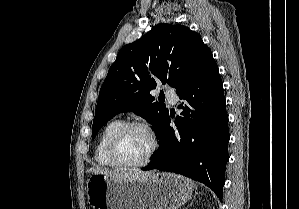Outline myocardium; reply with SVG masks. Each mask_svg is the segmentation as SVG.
Segmentation results:
<instances>
[{
    "mask_svg": "<svg viewBox=\"0 0 299 209\" xmlns=\"http://www.w3.org/2000/svg\"><path fill=\"white\" fill-rule=\"evenodd\" d=\"M129 129H139L143 131L149 139L150 146L146 156L141 161L131 164H123L116 159V146L121 135ZM157 148V137L154 131L147 124L139 121L124 122L115 130L109 140L107 147V157L111 166L114 168L122 170L136 169L147 165L156 153Z\"/></svg>",
    "mask_w": 299,
    "mask_h": 209,
    "instance_id": "myocardium-1",
    "label": "myocardium"
}]
</instances>
